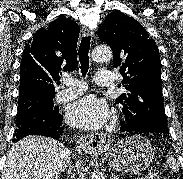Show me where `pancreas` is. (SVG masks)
Here are the masks:
<instances>
[{"mask_svg":"<svg viewBox=\"0 0 183 179\" xmlns=\"http://www.w3.org/2000/svg\"><path fill=\"white\" fill-rule=\"evenodd\" d=\"M147 179H161V178L159 177V175L155 174L148 176Z\"/></svg>","mask_w":183,"mask_h":179,"instance_id":"1","label":"pancreas"}]
</instances>
